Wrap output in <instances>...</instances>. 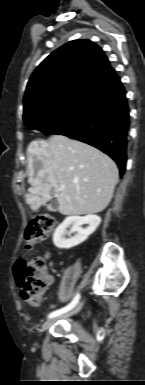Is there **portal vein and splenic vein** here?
Listing matches in <instances>:
<instances>
[{
    "instance_id": "portal-vein-and-splenic-vein-1",
    "label": "portal vein and splenic vein",
    "mask_w": 145,
    "mask_h": 385,
    "mask_svg": "<svg viewBox=\"0 0 145 385\" xmlns=\"http://www.w3.org/2000/svg\"><path fill=\"white\" fill-rule=\"evenodd\" d=\"M64 188H65V185L61 184L60 189H64Z\"/></svg>"
}]
</instances>
